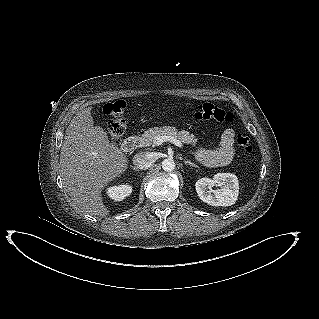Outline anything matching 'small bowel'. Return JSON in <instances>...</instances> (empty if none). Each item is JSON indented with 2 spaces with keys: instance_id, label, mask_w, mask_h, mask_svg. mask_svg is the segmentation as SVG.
<instances>
[{
  "instance_id": "c3829d8e",
  "label": "small bowel",
  "mask_w": 319,
  "mask_h": 319,
  "mask_svg": "<svg viewBox=\"0 0 319 319\" xmlns=\"http://www.w3.org/2000/svg\"><path fill=\"white\" fill-rule=\"evenodd\" d=\"M235 133L232 129H226L222 134L219 146L208 150L199 148L196 151L197 159L208 167H221L228 165L235 155Z\"/></svg>"
}]
</instances>
